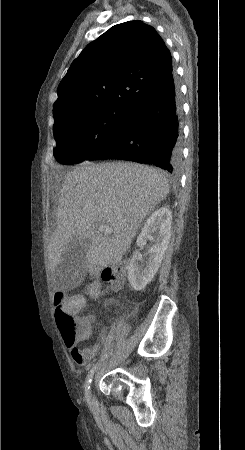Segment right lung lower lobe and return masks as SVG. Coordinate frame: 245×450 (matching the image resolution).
Here are the masks:
<instances>
[{"label":"right lung lower lobe","mask_w":245,"mask_h":450,"mask_svg":"<svg viewBox=\"0 0 245 450\" xmlns=\"http://www.w3.org/2000/svg\"><path fill=\"white\" fill-rule=\"evenodd\" d=\"M181 104L172 72L132 106L121 136L88 160L122 159L153 164L170 174L181 167Z\"/></svg>","instance_id":"1"}]
</instances>
